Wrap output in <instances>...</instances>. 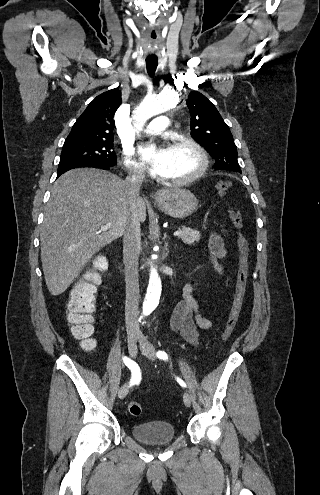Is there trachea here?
I'll return each instance as SVG.
<instances>
[{
  "label": "trachea",
  "mask_w": 320,
  "mask_h": 495,
  "mask_svg": "<svg viewBox=\"0 0 320 495\" xmlns=\"http://www.w3.org/2000/svg\"><path fill=\"white\" fill-rule=\"evenodd\" d=\"M158 65L157 60H146V68L149 75H153Z\"/></svg>",
  "instance_id": "obj_1"
}]
</instances>
